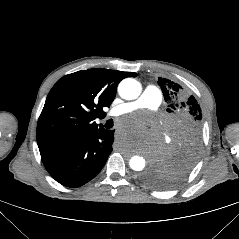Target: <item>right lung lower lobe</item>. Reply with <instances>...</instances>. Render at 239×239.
<instances>
[{
	"label": "right lung lower lobe",
	"mask_w": 239,
	"mask_h": 239,
	"mask_svg": "<svg viewBox=\"0 0 239 239\" xmlns=\"http://www.w3.org/2000/svg\"><path fill=\"white\" fill-rule=\"evenodd\" d=\"M114 130L100 127L85 137L41 154L49 174L60 184L79 187L93 179L112 151Z\"/></svg>",
	"instance_id": "obj_1"
}]
</instances>
